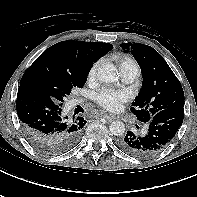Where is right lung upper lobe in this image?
<instances>
[{"mask_svg": "<svg viewBox=\"0 0 197 197\" xmlns=\"http://www.w3.org/2000/svg\"><path fill=\"white\" fill-rule=\"evenodd\" d=\"M109 43H89L68 40L46 49L24 73L21 85L27 86L24 78L37 67H48L65 72L73 77L89 73L93 63L112 49Z\"/></svg>", "mask_w": 197, "mask_h": 197, "instance_id": "1", "label": "right lung upper lobe"}]
</instances>
